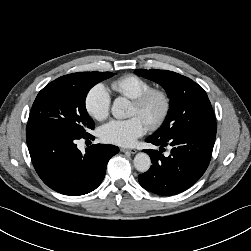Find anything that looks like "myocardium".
Returning a JSON list of instances; mask_svg holds the SVG:
<instances>
[{"label": "myocardium", "instance_id": "f54148a6", "mask_svg": "<svg viewBox=\"0 0 251 251\" xmlns=\"http://www.w3.org/2000/svg\"><path fill=\"white\" fill-rule=\"evenodd\" d=\"M159 102L158 111L147 122L151 129L158 128L167 118L170 111V97L168 93L159 88H151L132 100L140 111H146L153 101Z\"/></svg>", "mask_w": 251, "mask_h": 251}]
</instances>
